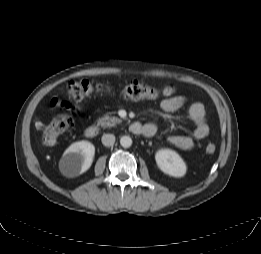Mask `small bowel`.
Masks as SVG:
<instances>
[{"instance_id":"obj_1","label":"small bowel","mask_w":261,"mask_h":254,"mask_svg":"<svg viewBox=\"0 0 261 254\" xmlns=\"http://www.w3.org/2000/svg\"><path fill=\"white\" fill-rule=\"evenodd\" d=\"M185 97L183 95H175L169 98L164 99L161 102V108L163 111L172 113L180 110L185 104ZM52 106L53 102L51 103ZM59 106V102L57 103ZM66 107H70L66 105ZM73 111L77 112L75 108H72ZM205 106L201 102H194L189 106L188 116L189 119L195 124V128L191 136L189 135H172L169 138L171 144L177 148L183 150H189L195 145V141L204 139L209 134V126L206 122L205 117ZM146 128V137H152L156 134L157 128L152 123H146L143 125Z\"/></svg>"}]
</instances>
